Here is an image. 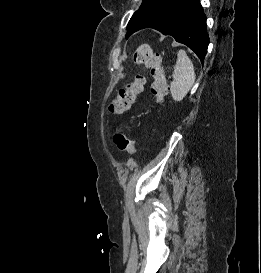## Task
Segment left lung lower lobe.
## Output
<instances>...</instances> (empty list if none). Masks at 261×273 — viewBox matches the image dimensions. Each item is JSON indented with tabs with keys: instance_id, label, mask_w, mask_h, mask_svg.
Returning a JSON list of instances; mask_svg holds the SVG:
<instances>
[{
	"instance_id": "0a47b994",
	"label": "left lung lower lobe",
	"mask_w": 261,
	"mask_h": 273,
	"mask_svg": "<svg viewBox=\"0 0 261 273\" xmlns=\"http://www.w3.org/2000/svg\"><path fill=\"white\" fill-rule=\"evenodd\" d=\"M143 28H154L187 45L203 62L209 37L200 0H167L140 17L128 29L126 38Z\"/></svg>"
}]
</instances>
